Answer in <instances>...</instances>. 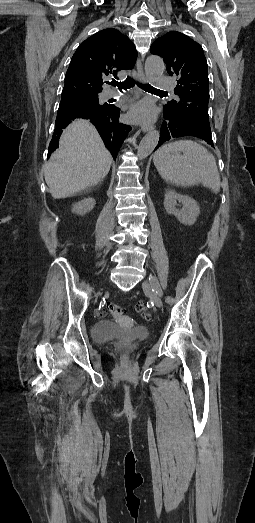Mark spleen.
Wrapping results in <instances>:
<instances>
[{"mask_svg":"<svg viewBox=\"0 0 255 523\" xmlns=\"http://www.w3.org/2000/svg\"><path fill=\"white\" fill-rule=\"evenodd\" d=\"M180 152H183L180 154ZM155 168L161 178L175 186L203 184L216 194L220 188V176L213 154L192 140H179L161 146L153 156Z\"/></svg>","mask_w":255,"mask_h":523,"instance_id":"obj_1","label":"spleen"}]
</instances>
